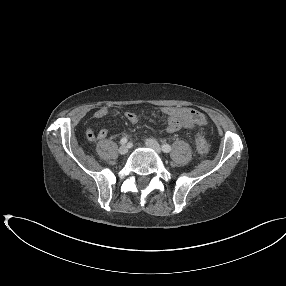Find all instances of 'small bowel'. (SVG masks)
I'll return each mask as SVG.
<instances>
[{
    "label": "small bowel",
    "mask_w": 286,
    "mask_h": 286,
    "mask_svg": "<svg viewBox=\"0 0 286 286\" xmlns=\"http://www.w3.org/2000/svg\"><path fill=\"white\" fill-rule=\"evenodd\" d=\"M108 108L106 106L99 107L93 114L95 119H102L108 115ZM161 112L167 117L166 130L168 132H177L183 128H193L196 126H203L207 123L205 115L193 108H178V107H163ZM126 120L132 124L138 122L139 117L136 113L127 111L124 114ZM108 136V130L101 129L97 134L94 130L89 128L87 130V138L93 142L96 138L103 140Z\"/></svg>",
    "instance_id": "c3829d8e"
}]
</instances>
